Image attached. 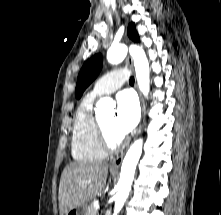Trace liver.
I'll return each mask as SVG.
<instances>
[{
	"mask_svg": "<svg viewBox=\"0 0 221 215\" xmlns=\"http://www.w3.org/2000/svg\"><path fill=\"white\" fill-rule=\"evenodd\" d=\"M108 164L72 163L63 170L58 192L60 215L66 214L97 196L106 184Z\"/></svg>",
	"mask_w": 221,
	"mask_h": 215,
	"instance_id": "1",
	"label": "liver"
}]
</instances>
